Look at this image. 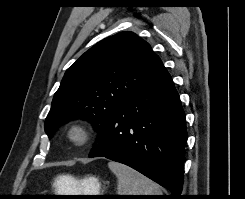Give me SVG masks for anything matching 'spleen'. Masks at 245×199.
Here are the masks:
<instances>
[{"mask_svg": "<svg viewBox=\"0 0 245 199\" xmlns=\"http://www.w3.org/2000/svg\"><path fill=\"white\" fill-rule=\"evenodd\" d=\"M108 167L117 177L118 195H162L160 187L136 170L110 161Z\"/></svg>", "mask_w": 245, "mask_h": 199, "instance_id": "1", "label": "spleen"}]
</instances>
